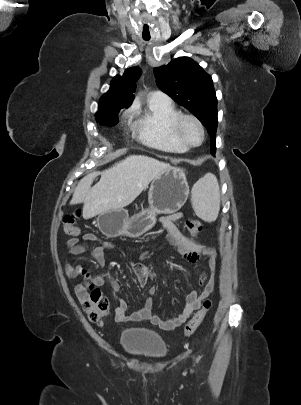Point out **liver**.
<instances>
[{"label":"liver","mask_w":301,"mask_h":405,"mask_svg":"<svg viewBox=\"0 0 301 405\" xmlns=\"http://www.w3.org/2000/svg\"><path fill=\"white\" fill-rule=\"evenodd\" d=\"M169 165L143 155H130L101 172L97 184L91 187L98 172L80 180L71 204L84 203L85 219L131 204L149 183Z\"/></svg>","instance_id":"6515ba94"}]
</instances>
